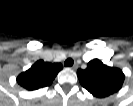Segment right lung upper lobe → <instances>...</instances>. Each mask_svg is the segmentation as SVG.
<instances>
[{"label":"right lung upper lobe","instance_id":"1","mask_svg":"<svg viewBox=\"0 0 133 106\" xmlns=\"http://www.w3.org/2000/svg\"><path fill=\"white\" fill-rule=\"evenodd\" d=\"M63 66L39 60L30 69L17 77V82L27 90H37L49 86Z\"/></svg>","mask_w":133,"mask_h":106}]
</instances>
